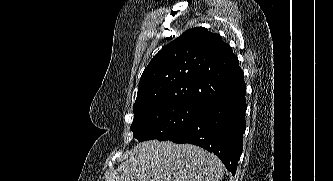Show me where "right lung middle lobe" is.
Returning a JSON list of instances; mask_svg holds the SVG:
<instances>
[{"mask_svg": "<svg viewBox=\"0 0 333 181\" xmlns=\"http://www.w3.org/2000/svg\"><path fill=\"white\" fill-rule=\"evenodd\" d=\"M203 105L173 102L149 106L134 112L131 125L139 142L151 139L169 140L186 129L200 114Z\"/></svg>", "mask_w": 333, "mask_h": 181, "instance_id": "dd1d6c3e", "label": "right lung middle lobe"}]
</instances>
